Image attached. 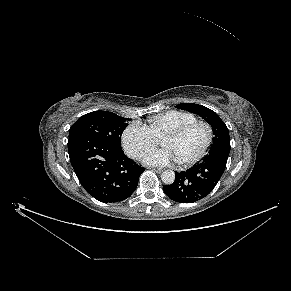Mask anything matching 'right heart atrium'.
<instances>
[{
  "label": "right heart atrium",
  "instance_id": "right-heart-atrium-1",
  "mask_svg": "<svg viewBox=\"0 0 291 291\" xmlns=\"http://www.w3.org/2000/svg\"><path fill=\"white\" fill-rule=\"evenodd\" d=\"M158 139L149 127L136 122L130 124L122 134V144L125 151L133 158H139L144 152L156 145Z\"/></svg>",
  "mask_w": 291,
  "mask_h": 291
}]
</instances>
